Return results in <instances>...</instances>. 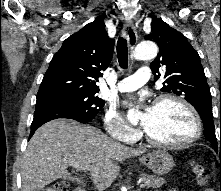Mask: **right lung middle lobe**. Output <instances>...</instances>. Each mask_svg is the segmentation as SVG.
I'll return each mask as SVG.
<instances>
[{
	"label": "right lung middle lobe",
	"mask_w": 221,
	"mask_h": 191,
	"mask_svg": "<svg viewBox=\"0 0 221 191\" xmlns=\"http://www.w3.org/2000/svg\"><path fill=\"white\" fill-rule=\"evenodd\" d=\"M66 106L76 116L86 120H92L105 102L94 94H66L51 98Z\"/></svg>",
	"instance_id": "right-lung-middle-lobe-1"
}]
</instances>
